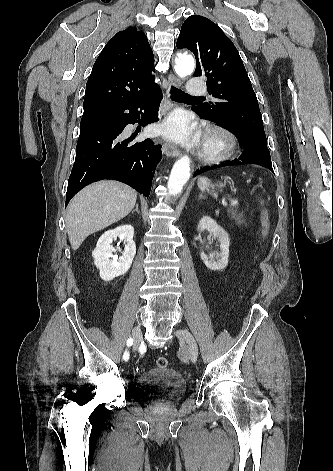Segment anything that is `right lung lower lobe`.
I'll list each match as a JSON object with an SVG mask.
<instances>
[{"instance_id": "98d812e1", "label": "right lung lower lobe", "mask_w": 333, "mask_h": 471, "mask_svg": "<svg viewBox=\"0 0 333 471\" xmlns=\"http://www.w3.org/2000/svg\"><path fill=\"white\" fill-rule=\"evenodd\" d=\"M161 100L156 86L133 100L82 117L65 206L83 187L102 179L121 181L149 196L161 145L151 139L132 144L134 138L124 139L123 130L129 123L157 122Z\"/></svg>"}]
</instances>
